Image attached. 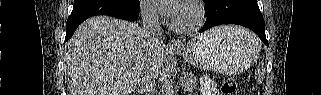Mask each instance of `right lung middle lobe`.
<instances>
[{"label": "right lung middle lobe", "instance_id": "1", "mask_svg": "<svg viewBox=\"0 0 321 95\" xmlns=\"http://www.w3.org/2000/svg\"><path fill=\"white\" fill-rule=\"evenodd\" d=\"M139 0H75L71 14L110 12L129 14L139 11Z\"/></svg>", "mask_w": 321, "mask_h": 95}]
</instances>
